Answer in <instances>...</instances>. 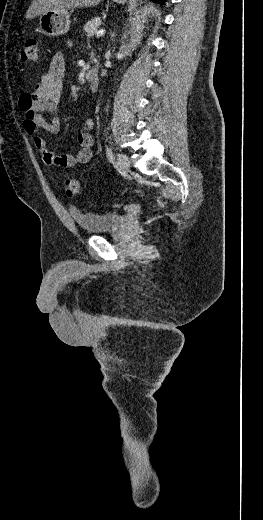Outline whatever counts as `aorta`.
<instances>
[{
  "label": "aorta",
  "instance_id": "obj_1",
  "mask_svg": "<svg viewBox=\"0 0 263 520\" xmlns=\"http://www.w3.org/2000/svg\"><path fill=\"white\" fill-rule=\"evenodd\" d=\"M121 50H123V47L120 48V51L117 53V57H120L122 55L123 51L121 52Z\"/></svg>",
  "mask_w": 263,
  "mask_h": 520
}]
</instances>
